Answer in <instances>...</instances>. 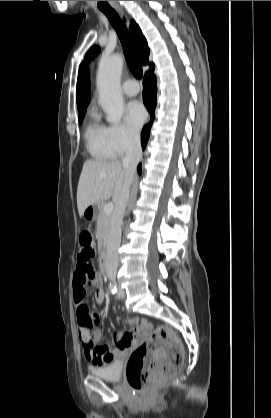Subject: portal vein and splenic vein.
Listing matches in <instances>:
<instances>
[{
  "label": "portal vein and splenic vein",
  "mask_w": 271,
  "mask_h": 418,
  "mask_svg": "<svg viewBox=\"0 0 271 418\" xmlns=\"http://www.w3.org/2000/svg\"><path fill=\"white\" fill-rule=\"evenodd\" d=\"M113 208H114V204L112 202L107 203L104 206V212H105V214L110 215L112 213V211H113Z\"/></svg>",
  "instance_id": "obj_1"
}]
</instances>
